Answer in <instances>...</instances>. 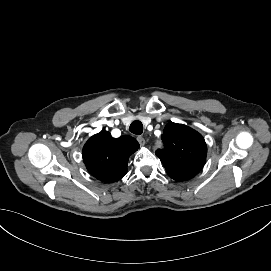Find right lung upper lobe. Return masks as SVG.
Returning a JSON list of instances; mask_svg holds the SVG:
<instances>
[{"label": "right lung upper lobe", "instance_id": "right-lung-upper-lobe-1", "mask_svg": "<svg viewBox=\"0 0 271 271\" xmlns=\"http://www.w3.org/2000/svg\"><path fill=\"white\" fill-rule=\"evenodd\" d=\"M139 148L131 136L113 138L108 131L92 136L83 147L87 170L98 180L115 182L127 173L128 159Z\"/></svg>", "mask_w": 271, "mask_h": 271}]
</instances>
